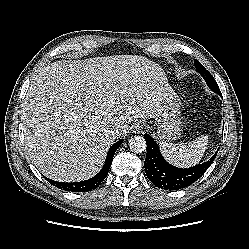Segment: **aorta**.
<instances>
[{
	"label": "aorta",
	"mask_w": 249,
	"mask_h": 249,
	"mask_svg": "<svg viewBox=\"0 0 249 249\" xmlns=\"http://www.w3.org/2000/svg\"><path fill=\"white\" fill-rule=\"evenodd\" d=\"M129 148L134 153H142L146 149V141L142 136H133L129 140Z\"/></svg>",
	"instance_id": "obj_1"
}]
</instances>
